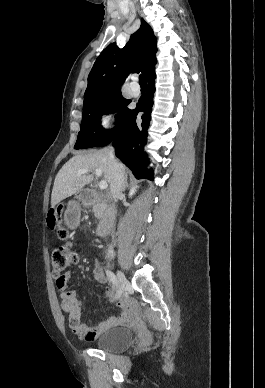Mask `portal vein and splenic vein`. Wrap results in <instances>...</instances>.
<instances>
[{
    "mask_svg": "<svg viewBox=\"0 0 265 388\" xmlns=\"http://www.w3.org/2000/svg\"><path fill=\"white\" fill-rule=\"evenodd\" d=\"M89 170H87V168H85V170H78L76 176H82V174H88ZM97 178H100V176H102V170L101 168H95L94 170ZM108 184L107 182H105V180H101L100 184H99V188L100 190H106Z\"/></svg>",
    "mask_w": 265,
    "mask_h": 388,
    "instance_id": "1",
    "label": "portal vein and splenic vein"
}]
</instances>
